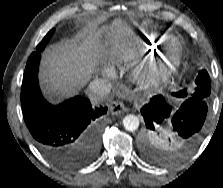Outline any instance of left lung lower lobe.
<instances>
[{"mask_svg":"<svg viewBox=\"0 0 223 188\" xmlns=\"http://www.w3.org/2000/svg\"><path fill=\"white\" fill-rule=\"evenodd\" d=\"M173 95L176 96L175 93ZM141 114L146 129L162 127L168 130L180 142L181 150L189 153L200 140L207 115V102L190 97L173 110L165 97L156 95L143 106Z\"/></svg>","mask_w":223,"mask_h":188,"instance_id":"obj_1","label":"left lung lower lobe"}]
</instances>
